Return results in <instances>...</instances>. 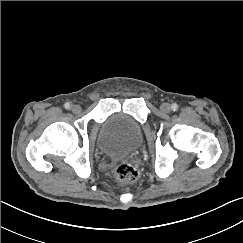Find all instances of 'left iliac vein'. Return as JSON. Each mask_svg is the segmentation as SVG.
<instances>
[{"mask_svg":"<svg viewBox=\"0 0 243 243\" xmlns=\"http://www.w3.org/2000/svg\"><path fill=\"white\" fill-rule=\"evenodd\" d=\"M160 110L163 113H169L171 111V105L169 103H162L160 106Z\"/></svg>","mask_w":243,"mask_h":243,"instance_id":"4c4485c4","label":"left iliac vein"}]
</instances>
